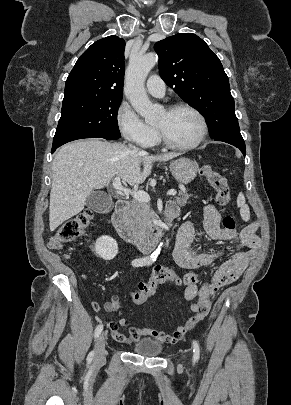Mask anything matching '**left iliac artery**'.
<instances>
[{
	"label": "left iliac artery",
	"mask_w": 291,
	"mask_h": 405,
	"mask_svg": "<svg viewBox=\"0 0 291 405\" xmlns=\"http://www.w3.org/2000/svg\"><path fill=\"white\" fill-rule=\"evenodd\" d=\"M192 344H193V353H194L193 358H194V360H198L199 356H200L199 344L195 340L193 341Z\"/></svg>",
	"instance_id": "obj_1"
}]
</instances>
